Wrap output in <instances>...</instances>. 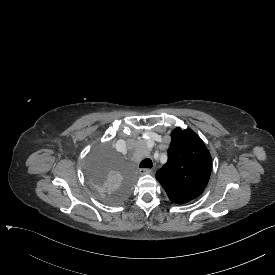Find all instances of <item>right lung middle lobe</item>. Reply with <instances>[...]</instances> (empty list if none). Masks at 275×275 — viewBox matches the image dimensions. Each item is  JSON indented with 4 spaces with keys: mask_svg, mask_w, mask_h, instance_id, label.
<instances>
[{
    "mask_svg": "<svg viewBox=\"0 0 275 275\" xmlns=\"http://www.w3.org/2000/svg\"><path fill=\"white\" fill-rule=\"evenodd\" d=\"M86 176L95 196L105 205L120 204L133 188V173L126 157L106 144L94 148L86 166Z\"/></svg>",
    "mask_w": 275,
    "mask_h": 275,
    "instance_id": "right-lung-middle-lobe-1",
    "label": "right lung middle lobe"
}]
</instances>
